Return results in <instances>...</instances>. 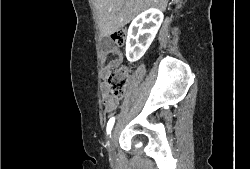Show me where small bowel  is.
I'll list each match as a JSON object with an SVG mask.
<instances>
[{"mask_svg": "<svg viewBox=\"0 0 250 169\" xmlns=\"http://www.w3.org/2000/svg\"><path fill=\"white\" fill-rule=\"evenodd\" d=\"M109 53H111L115 58L105 65L104 71L106 73L109 72V70H111L115 66H117L121 62V59H122V54L120 50L116 47L112 48L109 51ZM102 101L107 111H113L114 109L117 108L118 103H119L118 99H115L111 96L107 84H104L102 88Z\"/></svg>", "mask_w": 250, "mask_h": 169, "instance_id": "obj_1", "label": "small bowel"}]
</instances>
